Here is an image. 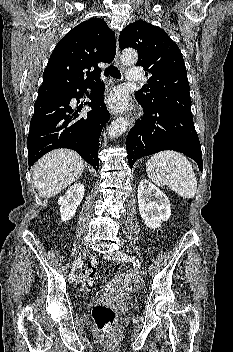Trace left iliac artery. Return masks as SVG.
<instances>
[{
	"instance_id": "44dca946",
	"label": "left iliac artery",
	"mask_w": 233,
	"mask_h": 352,
	"mask_svg": "<svg viewBox=\"0 0 233 352\" xmlns=\"http://www.w3.org/2000/svg\"><path fill=\"white\" fill-rule=\"evenodd\" d=\"M124 259H126L127 261L132 262L135 266L139 267V265H140L139 260L136 257H134V256H128L127 255V256L124 257Z\"/></svg>"
}]
</instances>
